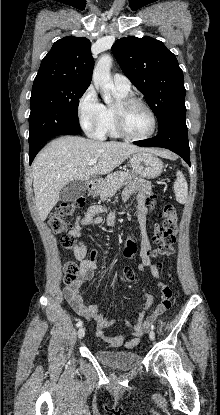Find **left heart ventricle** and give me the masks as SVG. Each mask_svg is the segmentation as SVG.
Returning <instances> with one entry per match:
<instances>
[{
    "label": "left heart ventricle",
    "mask_w": 220,
    "mask_h": 415,
    "mask_svg": "<svg viewBox=\"0 0 220 415\" xmlns=\"http://www.w3.org/2000/svg\"><path fill=\"white\" fill-rule=\"evenodd\" d=\"M123 118L126 131L133 136H143L151 130V117L149 113L140 106H132L126 109Z\"/></svg>",
    "instance_id": "left-heart-ventricle-1"
}]
</instances>
